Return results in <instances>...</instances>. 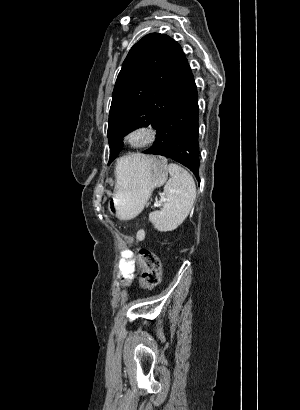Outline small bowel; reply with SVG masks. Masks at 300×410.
<instances>
[{
	"mask_svg": "<svg viewBox=\"0 0 300 410\" xmlns=\"http://www.w3.org/2000/svg\"><path fill=\"white\" fill-rule=\"evenodd\" d=\"M144 238V231L137 233V239ZM120 276L125 281H131L135 277L136 273V259L134 254L129 250H124L121 253V261L119 265Z\"/></svg>",
	"mask_w": 300,
	"mask_h": 410,
	"instance_id": "small-bowel-1",
	"label": "small bowel"
}]
</instances>
